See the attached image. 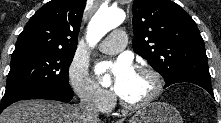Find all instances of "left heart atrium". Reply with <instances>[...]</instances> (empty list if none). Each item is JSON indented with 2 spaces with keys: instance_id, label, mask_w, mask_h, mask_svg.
Here are the masks:
<instances>
[{
  "instance_id": "1",
  "label": "left heart atrium",
  "mask_w": 221,
  "mask_h": 123,
  "mask_svg": "<svg viewBox=\"0 0 221 123\" xmlns=\"http://www.w3.org/2000/svg\"><path fill=\"white\" fill-rule=\"evenodd\" d=\"M107 71L112 72L114 84L113 89L119 95L126 82L135 73L130 61L125 58L118 59L115 62H104L97 66V74H103Z\"/></svg>"
}]
</instances>
